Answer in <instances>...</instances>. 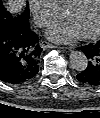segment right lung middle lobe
Instances as JSON below:
<instances>
[{"instance_id": "right-lung-middle-lobe-1", "label": "right lung middle lobe", "mask_w": 100, "mask_h": 118, "mask_svg": "<svg viewBox=\"0 0 100 118\" xmlns=\"http://www.w3.org/2000/svg\"><path fill=\"white\" fill-rule=\"evenodd\" d=\"M2 18L0 20V29H5L6 26H22L26 27L28 25L29 19V8L27 7L25 11L19 16H11L7 13L3 6H1Z\"/></svg>"}]
</instances>
